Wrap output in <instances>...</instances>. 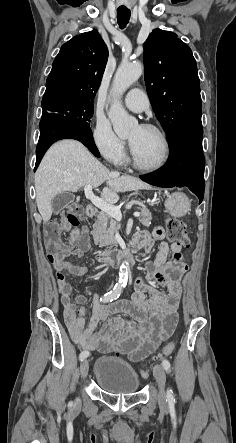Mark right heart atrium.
<instances>
[{
	"instance_id": "1",
	"label": "right heart atrium",
	"mask_w": 236,
	"mask_h": 443,
	"mask_svg": "<svg viewBox=\"0 0 236 443\" xmlns=\"http://www.w3.org/2000/svg\"><path fill=\"white\" fill-rule=\"evenodd\" d=\"M91 136L95 147L107 161L116 165L125 161L126 144L114 133L106 120L95 119Z\"/></svg>"
}]
</instances>
